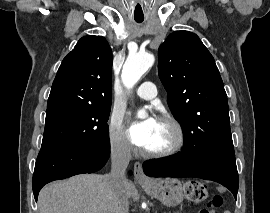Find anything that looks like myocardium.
Listing matches in <instances>:
<instances>
[{"label": "myocardium", "instance_id": "myocardium-1", "mask_svg": "<svg viewBox=\"0 0 270 213\" xmlns=\"http://www.w3.org/2000/svg\"><path fill=\"white\" fill-rule=\"evenodd\" d=\"M158 120L169 124L173 128L175 139H174V142L170 146L164 149L157 150V151H149V150L143 151V154L150 158H162V157L173 155L179 152L184 147V144H185L184 129L181 123L174 116L170 114H163L159 117Z\"/></svg>", "mask_w": 270, "mask_h": 213}]
</instances>
